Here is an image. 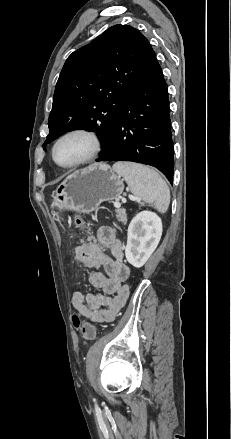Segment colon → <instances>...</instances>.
I'll return each instance as SVG.
<instances>
[{
	"mask_svg": "<svg viewBox=\"0 0 231 439\" xmlns=\"http://www.w3.org/2000/svg\"><path fill=\"white\" fill-rule=\"evenodd\" d=\"M76 224L78 226L82 225V222L80 219H76ZM76 264L81 265V264H85L86 263V258L85 257H81L78 256L75 259ZM73 324L76 328L81 330L82 336L84 337V339L86 340H93L96 336V327L94 326L93 323L91 322H85L81 325L80 323V319L77 315L73 316Z\"/></svg>",
	"mask_w": 231,
	"mask_h": 439,
	"instance_id": "colon-1",
	"label": "colon"
}]
</instances>
